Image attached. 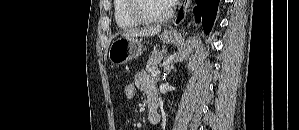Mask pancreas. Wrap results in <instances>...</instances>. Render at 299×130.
<instances>
[{"instance_id": "obj_1", "label": "pancreas", "mask_w": 299, "mask_h": 130, "mask_svg": "<svg viewBox=\"0 0 299 130\" xmlns=\"http://www.w3.org/2000/svg\"><path fill=\"white\" fill-rule=\"evenodd\" d=\"M165 51H158L154 50L150 53L149 59L146 64V71H152L154 70L163 60V55L165 54Z\"/></svg>"}]
</instances>
